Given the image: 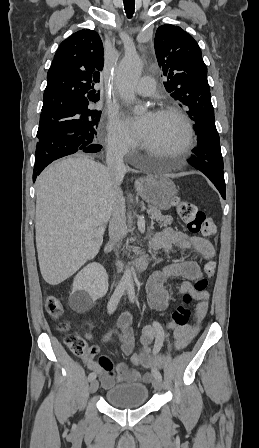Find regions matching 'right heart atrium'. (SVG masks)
I'll list each match as a JSON object with an SVG mask.
<instances>
[{"label":"right heart atrium","mask_w":259,"mask_h":448,"mask_svg":"<svg viewBox=\"0 0 259 448\" xmlns=\"http://www.w3.org/2000/svg\"><path fill=\"white\" fill-rule=\"evenodd\" d=\"M105 149L119 157H127L138 143L136 137L125 127L117 114L110 115L105 127Z\"/></svg>","instance_id":"1"}]
</instances>
